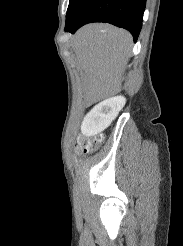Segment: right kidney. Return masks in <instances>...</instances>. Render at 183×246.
I'll use <instances>...</instances> for the list:
<instances>
[{
	"label": "right kidney",
	"instance_id": "obj_1",
	"mask_svg": "<svg viewBox=\"0 0 183 246\" xmlns=\"http://www.w3.org/2000/svg\"><path fill=\"white\" fill-rule=\"evenodd\" d=\"M125 103L126 99L123 96H115L96 105L82 122V134L94 136L105 130L118 116Z\"/></svg>",
	"mask_w": 183,
	"mask_h": 246
}]
</instances>
